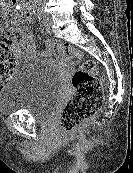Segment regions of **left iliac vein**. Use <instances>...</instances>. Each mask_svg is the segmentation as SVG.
Instances as JSON below:
<instances>
[{
	"label": "left iliac vein",
	"instance_id": "obj_1",
	"mask_svg": "<svg viewBox=\"0 0 133 173\" xmlns=\"http://www.w3.org/2000/svg\"><path fill=\"white\" fill-rule=\"evenodd\" d=\"M44 26L46 29H49V27H50L49 18H47L46 16H44Z\"/></svg>",
	"mask_w": 133,
	"mask_h": 173
}]
</instances>
